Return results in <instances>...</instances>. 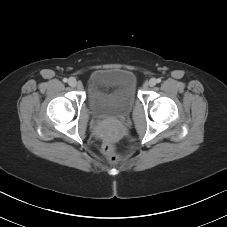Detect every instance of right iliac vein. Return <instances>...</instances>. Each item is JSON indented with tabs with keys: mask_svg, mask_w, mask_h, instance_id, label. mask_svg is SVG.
Segmentation results:
<instances>
[{
	"mask_svg": "<svg viewBox=\"0 0 227 227\" xmlns=\"http://www.w3.org/2000/svg\"><path fill=\"white\" fill-rule=\"evenodd\" d=\"M68 84L71 86V87H76L77 86V80L73 77L69 78L68 80Z\"/></svg>",
	"mask_w": 227,
	"mask_h": 227,
	"instance_id": "1",
	"label": "right iliac vein"
}]
</instances>
